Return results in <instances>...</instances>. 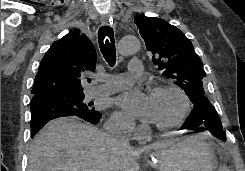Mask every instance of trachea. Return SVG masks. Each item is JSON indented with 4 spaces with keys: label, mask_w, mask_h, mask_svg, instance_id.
<instances>
[{
    "label": "trachea",
    "mask_w": 245,
    "mask_h": 171,
    "mask_svg": "<svg viewBox=\"0 0 245 171\" xmlns=\"http://www.w3.org/2000/svg\"><path fill=\"white\" fill-rule=\"evenodd\" d=\"M98 42L100 50L110 66L116 62V49L113 29L109 26H103L98 30Z\"/></svg>",
    "instance_id": "trachea-1"
}]
</instances>
